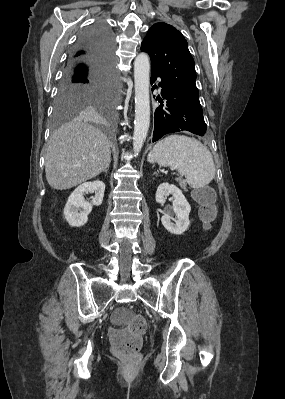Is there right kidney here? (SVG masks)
I'll return each mask as SVG.
<instances>
[{
  "mask_svg": "<svg viewBox=\"0 0 285 399\" xmlns=\"http://www.w3.org/2000/svg\"><path fill=\"white\" fill-rule=\"evenodd\" d=\"M105 184L102 181L86 182L78 186L69 196L64 208V216L70 226L81 227L88 221L93 205L100 206L103 201ZM95 193L92 202L84 199L85 193Z\"/></svg>",
  "mask_w": 285,
  "mask_h": 399,
  "instance_id": "right-kidney-1",
  "label": "right kidney"
}]
</instances>
